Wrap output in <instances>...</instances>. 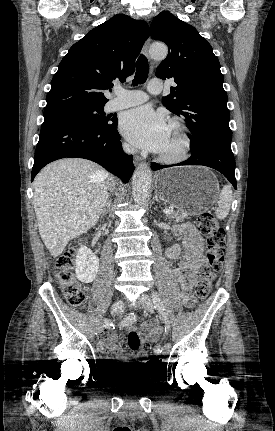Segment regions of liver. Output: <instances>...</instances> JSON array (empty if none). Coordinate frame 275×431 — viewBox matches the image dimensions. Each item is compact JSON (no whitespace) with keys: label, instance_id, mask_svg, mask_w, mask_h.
<instances>
[{"label":"liver","instance_id":"6515ba94","mask_svg":"<svg viewBox=\"0 0 275 431\" xmlns=\"http://www.w3.org/2000/svg\"><path fill=\"white\" fill-rule=\"evenodd\" d=\"M109 173L86 159L67 158L35 177L34 209L42 241L53 257L99 220L108 198Z\"/></svg>","mask_w":275,"mask_h":431}]
</instances>
